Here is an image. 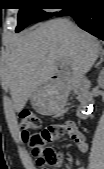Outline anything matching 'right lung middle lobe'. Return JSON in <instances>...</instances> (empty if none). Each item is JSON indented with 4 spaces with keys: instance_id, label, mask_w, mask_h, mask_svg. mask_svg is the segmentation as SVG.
<instances>
[{
    "instance_id": "1",
    "label": "right lung middle lobe",
    "mask_w": 104,
    "mask_h": 169,
    "mask_svg": "<svg viewBox=\"0 0 104 169\" xmlns=\"http://www.w3.org/2000/svg\"><path fill=\"white\" fill-rule=\"evenodd\" d=\"M19 5L18 25L16 32L21 31L26 26L52 17L55 13L43 11V6L47 3L45 0H16ZM63 5H69L77 0H61Z\"/></svg>"
}]
</instances>
